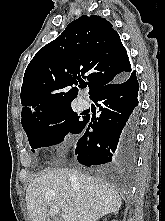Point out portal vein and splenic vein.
<instances>
[{
    "label": "portal vein and splenic vein",
    "mask_w": 165,
    "mask_h": 221,
    "mask_svg": "<svg viewBox=\"0 0 165 221\" xmlns=\"http://www.w3.org/2000/svg\"><path fill=\"white\" fill-rule=\"evenodd\" d=\"M59 213H60V210H59V208H57L56 206H52V207L50 208L49 214H50L51 216H55V215H57V214H59ZM62 217H63V219H64L65 221H70L69 216H67V215H62Z\"/></svg>",
    "instance_id": "1"
}]
</instances>
